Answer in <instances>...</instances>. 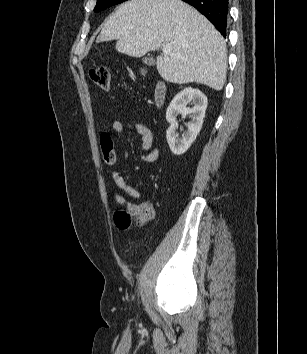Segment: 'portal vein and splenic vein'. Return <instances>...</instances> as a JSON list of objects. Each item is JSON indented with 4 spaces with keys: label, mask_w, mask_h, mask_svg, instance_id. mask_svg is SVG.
<instances>
[{
    "label": "portal vein and splenic vein",
    "mask_w": 307,
    "mask_h": 354,
    "mask_svg": "<svg viewBox=\"0 0 307 354\" xmlns=\"http://www.w3.org/2000/svg\"><path fill=\"white\" fill-rule=\"evenodd\" d=\"M162 52L164 54V56H168V55H175L171 53V47L169 45H165L162 47Z\"/></svg>",
    "instance_id": "1"
}]
</instances>
